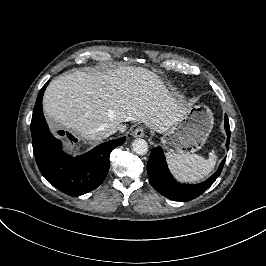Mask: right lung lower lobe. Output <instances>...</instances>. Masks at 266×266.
Instances as JSON below:
<instances>
[{
  "instance_id": "1",
  "label": "right lung lower lobe",
  "mask_w": 266,
  "mask_h": 266,
  "mask_svg": "<svg viewBox=\"0 0 266 266\" xmlns=\"http://www.w3.org/2000/svg\"><path fill=\"white\" fill-rule=\"evenodd\" d=\"M49 81L40 90L33 110L31 133L33 152L42 175L54 187L70 196H79L97 188L105 179L111 151L126 138L110 140L91 151L72 157L61 148L60 140L49 131L42 111V98Z\"/></svg>"
}]
</instances>
